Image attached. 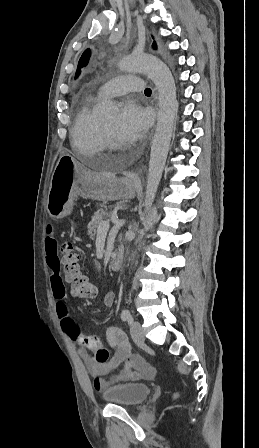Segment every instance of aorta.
Returning a JSON list of instances; mask_svg holds the SVG:
<instances>
[{
    "label": "aorta",
    "mask_w": 259,
    "mask_h": 448,
    "mask_svg": "<svg viewBox=\"0 0 259 448\" xmlns=\"http://www.w3.org/2000/svg\"><path fill=\"white\" fill-rule=\"evenodd\" d=\"M120 69L124 72L145 73L154 82L159 94L158 120L151 146L144 201L145 210L149 211L162 177L174 129L177 109L176 86L167 65L151 55L128 56L121 60ZM101 109L105 114L117 111L112 101H106Z\"/></svg>",
    "instance_id": "1"
}]
</instances>
